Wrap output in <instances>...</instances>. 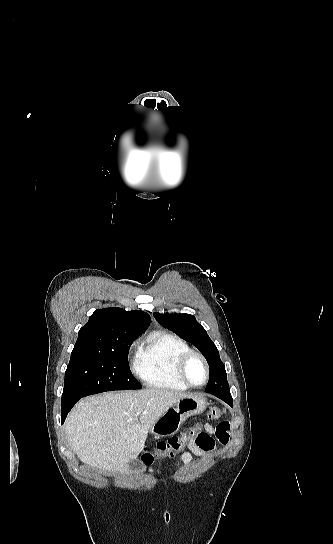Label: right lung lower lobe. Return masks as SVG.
Returning a JSON list of instances; mask_svg holds the SVG:
<instances>
[{
    "label": "right lung lower lobe",
    "instance_id": "right-lung-lower-lobe-1",
    "mask_svg": "<svg viewBox=\"0 0 333 544\" xmlns=\"http://www.w3.org/2000/svg\"><path fill=\"white\" fill-rule=\"evenodd\" d=\"M79 400L80 399H74V400L65 399V398L61 399V402H62V407H61V421H62V424L64 423V421L66 419V416L69 413V411L71 410V408Z\"/></svg>",
    "mask_w": 333,
    "mask_h": 544
}]
</instances>
